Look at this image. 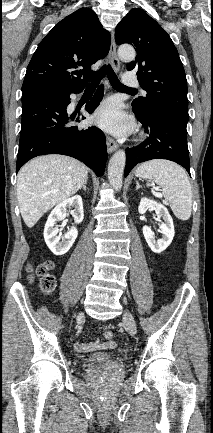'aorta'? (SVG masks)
I'll return each mask as SVG.
<instances>
[{
    "instance_id": "1",
    "label": "aorta",
    "mask_w": 213,
    "mask_h": 433,
    "mask_svg": "<svg viewBox=\"0 0 213 433\" xmlns=\"http://www.w3.org/2000/svg\"><path fill=\"white\" fill-rule=\"evenodd\" d=\"M135 50L132 46L123 45L118 49V57L121 60H133L135 58ZM126 163L125 151L119 150L111 157L108 165V180L110 185L119 191L122 188L123 173Z\"/></svg>"
}]
</instances>
